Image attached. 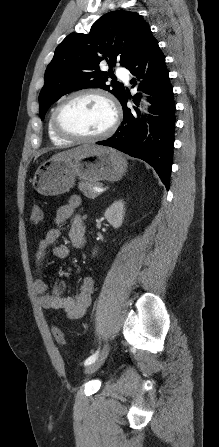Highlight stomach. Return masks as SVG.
<instances>
[{
    "label": "stomach",
    "mask_w": 219,
    "mask_h": 447,
    "mask_svg": "<svg viewBox=\"0 0 219 447\" xmlns=\"http://www.w3.org/2000/svg\"><path fill=\"white\" fill-rule=\"evenodd\" d=\"M126 167L127 162L121 153L100 147L81 158L45 161L36 170L32 184L38 193L55 196L68 192L74 186L76 177L92 183L117 181L125 173Z\"/></svg>",
    "instance_id": "1"
}]
</instances>
